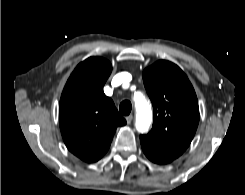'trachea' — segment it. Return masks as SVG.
Instances as JSON below:
<instances>
[{
    "instance_id": "trachea-1",
    "label": "trachea",
    "mask_w": 245,
    "mask_h": 195,
    "mask_svg": "<svg viewBox=\"0 0 245 195\" xmlns=\"http://www.w3.org/2000/svg\"><path fill=\"white\" fill-rule=\"evenodd\" d=\"M132 109V105L131 102L128 100H124L123 102H121L120 107H119V111L121 114L123 115H129Z\"/></svg>"
}]
</instances>
